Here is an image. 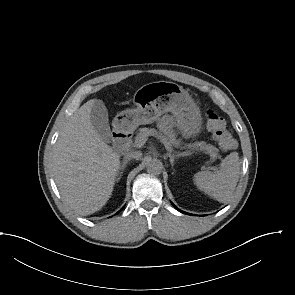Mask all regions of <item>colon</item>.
<instances>
[{
	"mask_svg": "<svg viewBox=\"0 0 295 295\" xmlns=\"http://www.w3.org/2000/svg\"><path fill=\"white\" fill-rule=\"evenodd\" d=\"M205 120L208 129L213 133V137L223 150L235 148L236 142L232 134L226 129L224 119L213 109H207Z\"/></svg>",
	"mask_w": 295,
	"mask_h": 295,
	"instance_id": "colon-1",
	"label": "colon"
}]
</instances>
